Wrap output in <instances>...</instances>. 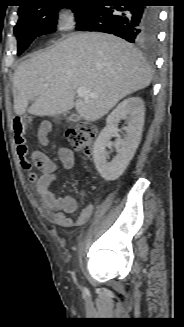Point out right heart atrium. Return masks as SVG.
Wrapping results in <instances>:
<instances>
[{"instance_id":"1","label":"right heart atrium","mask_w":184,"mask_h":327,"mask_svg":"<svg viewBox=\"0 0 184 327\" xmlns=\"http://www.w3.org/2000/svg\"><path fill=\"white\" fill-rule=\"evenodd\" d=\"M77 22L76 15L70 11H63L56 17V27L63 31L74 29Z\"/></svg>"}]
</instances>
